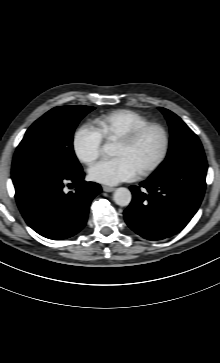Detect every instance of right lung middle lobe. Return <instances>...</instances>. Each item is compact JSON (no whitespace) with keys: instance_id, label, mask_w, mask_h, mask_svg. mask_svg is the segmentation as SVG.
Segmentation results:
<instances>
[{"instance_id":"dd1d6c3e","label":"right lung middle lobe","mask_w":220,"mask_h":363,"mask_svg":"<svg viewBox=\"0 0 220 363\" xmlns=\"http://www.w3.org/2000/svg\"><path fill=\"white\" fill-rule=\"evenodd\" d=\"M94 107L60 106L45 113L27 130L12 164L14 185L37 176L73 175L82 168L73 151V133Z\"/></svg>"}]
</instances>
